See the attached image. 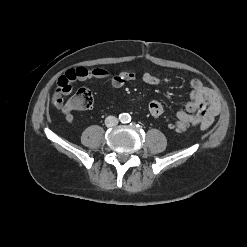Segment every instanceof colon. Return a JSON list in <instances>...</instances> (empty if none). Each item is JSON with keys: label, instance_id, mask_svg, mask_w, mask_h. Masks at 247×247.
<instances>
[{"label": "colon", "instance_id": "1", "mask_svg": "<svg viewBox=\"0 0 247 247\" xmlns=\"http://www.w3.org/2000/svg\"><path fill=\"white\" fill-rule=\"evenodd\" d=\"M69 102L75 110H85L92 106L93 95L88 88L81 87L76 91ZM170 126L177 132H185L188 129V124L182 121H175L171 123Z\"/></svg>", "mask_w": 247, "mask_h": 247}]
</instances>
